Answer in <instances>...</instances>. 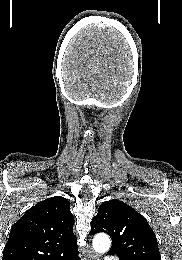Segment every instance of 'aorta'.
Here are the masks:
<instances>
[{
	"label": "aorta",
	"instance_id": "aorta-1",
	"mask_svg": "<svg viewBox=\"0 0 182 260\" xmlns=\"http://www.w3.org/2000/svg\"><path fill=\"white\" fill-rule=\"evenodd\" d=\"M110 245V239L104 233L97 234L93 239V248L97 253L102 254L107 252L110 248Z\"/></svg>",
	"mask_w": 182,
	"mask_h": 260
}]
</instances>
